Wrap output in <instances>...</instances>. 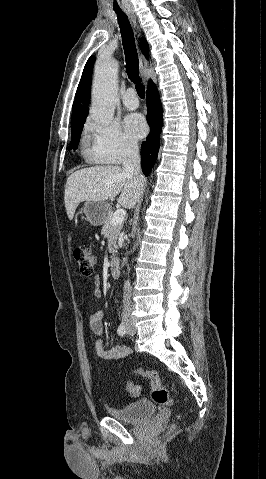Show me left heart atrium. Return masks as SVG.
I'll list each match as a JSON object with an SVG mask.
<instances>
[{
	"label": "left heart atrium",
	"instance_id": "left-heart-atrium-1",
	"mask_svg": "<svg viewBox=\"0 0 266 479\" xmlns=\"http://www.w3.org/2000/svg\"><path fill=\"white\" fill-rule=\"evenodd\" d=\"M124 126L127 134L132 139L143 137L147 131V124L144 117L138 113H132L124 119Z\"/></svg>",
	"mask_w": 266,
	"mask_h": 479
}]
</instances>
